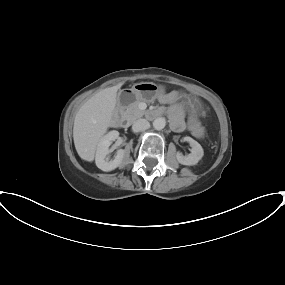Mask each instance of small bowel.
I'll use <instances>...</instances> for the list:
<instances>
[{"instance_id": "c3829d8e", "label": "small bowel", "mask_w": 285, "mask_h": 285, "mask_svg": "<svg viewBox=\"0 0 285 285\" xmlns=\"http://www.w3.org/2000/svg\"><path fill=\"white\" fill-rule=\"evenodd\" d=\"M179 95L176 91L165 92L161 90L158 99L161 103L170 104L169 114L172 119L173 128L180 131L187 127L196 138H202L204 131L196 119H190L187 125L182 118V106L178 103Z\"/></svg>"}]
</instances>
